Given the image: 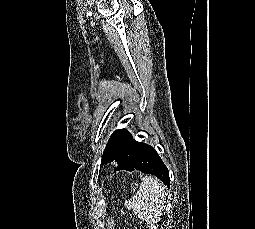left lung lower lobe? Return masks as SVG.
<instances>
[{
	"label": "left lung lower lobe",
	"mask_w": 255,
	"mask_h": 229,
	"mask_svg": "<svg viewBox=\"0 0 255 229\" xmlns=\"http://www.w3.org/2000/svg\"><path fill=\"white\" fill-rule=\"evenodd\" d=\"M117 131L126 135L129 138V143L121 155L112 159L118 163L116 170H139L143 173L153 174L170 188L169 171L156 150L148 144L135 141L125 129Z\"/></svg>",
	"instance_id": "1"
}]
</instances>
